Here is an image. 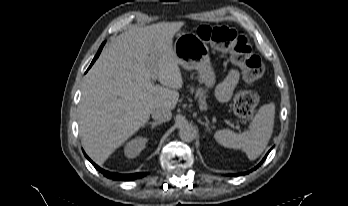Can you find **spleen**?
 <instances>
[{"label": "spleen", "mask_w": 348, "mask_h": 206, "mask_svg": "<svg viewBox=\"0 0 348 206\" xmlns=\"http://www.w3.org/2000/svg\"><path fill=\"white\" fill-rule=\"evenodd\" d=\"M274 104L263 105L252 119L249 130L240 134L222 129L214 134L215 140L226 148L241 149L250 160L257 159L265 150L274 126Z\"/></svg>", "instance_id": "3e777b00"}]
</instances>
